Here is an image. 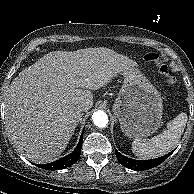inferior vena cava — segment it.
<instances>
[{
	"label": "inferior vena cava",
	"mask_w": 194,
	"mask_h": 194,
	"mask_svg": "<svg viewBox=\"0 0 194 194\" xmlns=\"http://www.w3.org/2000/svg\"><path fill=\"white\" fill-rule=\"evenodd\" d=\"M84 109H85V107H84L83 104H78V105L76 106V110H77L78 112H82V111H84Z\"/></svg>",
	"instance_id": "inferior-vena-cava-1"
}]
</instances>
